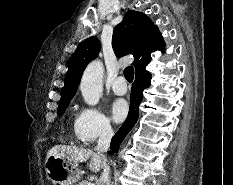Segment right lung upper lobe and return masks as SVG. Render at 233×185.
<instances>
[{"mask_svg": "<svg viewBox=\"0 0 233 185\" xmlns=\"http://www.w3.org/2000/svg\"><path fill=\"white\" fill-rule=\"evenodd\" d=\"M159 37V39H158ZM164 41L156 25L143 13L130 10L113 32L112 47L117 57L132 54L135 71L145 69L151 61V53L164 49ZM100 51L96 37L85 40L75 51L69 62L65 85L60 102L70 101L77 91L82 73L87 64Z\"/></svg>", "mask_w": 233, "mask_h": 185, "instance_id": "1", "label": "right lung upper lobe"}]
</instances>
